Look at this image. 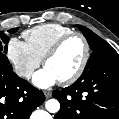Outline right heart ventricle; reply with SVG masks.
<instances>
[{
  "label": "right heart ventricle",
  "mask_w": 119,
  "mask_h": 119,
  "mask_svg": "<svg viewBox=\"0 0 119 119\" xmlns=\"http://www.w3.org/2000/svg\"><path fill=\"white\" fill-rule=\"evenodd\" d=\"M74 32L71 28L60 24H43L23 33L31 51L43 60L48 50L63 36Z\"/></svg>",
  "instance_id": "1"
}]
</instances>
